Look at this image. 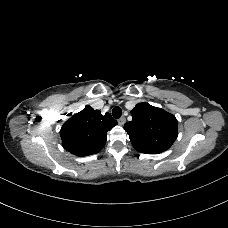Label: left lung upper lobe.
<instances>
[{
  "label": "left lung upper lobe",
  "mask_w": 228,
  "mask_h": 228,
  "mask_svg": "<svg viewBox=\"0 0 228 228\" xmlns=\"http://www.w3.org/2000/svg\"><path fill=\"white\" fill-rule=\"evenodd\" d=\"M132 121L124 126L133 147L147 154L166 151L177 138L178 122L174 115L148 103H139L131 111Z\"/></svg>",
  "instance_id": "left-lung-upper-lobe-1"
}]
</instances>
